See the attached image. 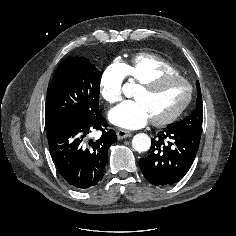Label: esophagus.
Instances as JSON below:
<instances>
[{
	"mask_svg": "<svg viewBox=\"0 0 236 236\" xmlns=\"http://www.w3.org/2000/svg\"><path fill=\"white\" fill-rule=\"evenodd\" d=\"M118 139H123L131 136V131L124 130V129H119L116 132Z\"/></svg>",
	"mask_w": 236,
	"mask_h": 236,
	"instance_id": "1",
	"label": "esophagus"
}]
</instances>
